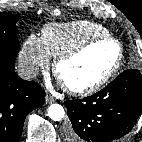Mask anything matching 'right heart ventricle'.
<instances>
[{
  "label": "right heart ventricle",
  "mask_w": 142,
  "mask_h": 142,
  "mask_svg": "<svg viewBox=\"0 0 142 142\" xmlns=\"http://www.w3.org/2000/svg\"><path fill=\"white\" fill-rule=\"evenodd\" d=\"M103 35H109L104 26L89 20H79L47 24L40 39L48 54L57 58L85 41Z\"/></svg>",
  "instance_id": "obj_1"
}]
</instances>
